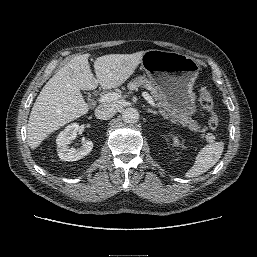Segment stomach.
I'll use <instances>...</instances> for the list:
<instances>
[{
	"label": "stomach",
	"mask_w": 257,
	"mask_h": 257,
	"mask_svg": "<svg viewBox=\"0 0 257 257\" xmlns=\"http://www.w3.org/2000/svg\"><path fill=\"white\" fill-rule=\"evenodd\" d=\"M141 67L174 110L187 117L196 113L193 86L200 66L195 58L179 52L153 49L144 52Z\"/></svg>",
	"instance_id": "obj_1"
}]
</instances>
